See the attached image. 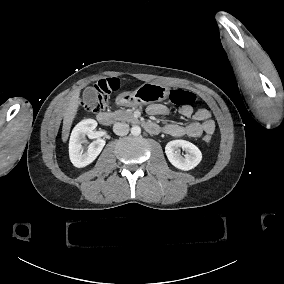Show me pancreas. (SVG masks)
<instances>
[{
	"mask_svg": "<svg viewBox=\"0 0 284 284\" xmlns=\"http://www.w3.org/2000/svg\"><path fill=\"white\" fill-rule=\"evenodd\" d=\"M115 120L123 122L137 123L138 119L133 116V112L130 110H117L112 113Z\"/></svg>",
	"mask_w": 284,
	"mask_h": 284,
	"instance_id": "obj_1",
	"label": "pancreas"
}]
</instances>
